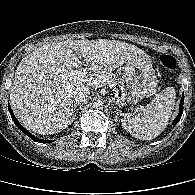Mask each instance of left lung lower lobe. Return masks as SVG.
I'll list each match as a JSON object with an SVG mask.
<instances>
[{
	"label": "left lung lower lobe",
	"instance_id": "left-lung-lower-lobe-1",
	"mask_svg": "<svg viewBox=\"0 0 195 195\" xmlns=\"http://www.w3.org/2000/svg\"><path fill=\"white\" fill-rule=\"evenodd\" d=\"M183 104H184V94L182 95V98H181V102H180V105H179V113L177 115V117L174 119V122L173 124H177L182 116V113H183Z\"/></svg>",
	"mask_w": 195,
	"mask_h": 195
}]
</instances>
